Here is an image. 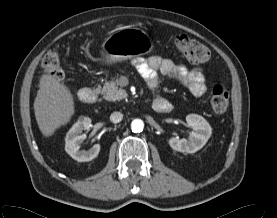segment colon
Wrapping results in <instances>:
<instances>
[{"label":"colon","instance_id":"obj_1","mask_svg":"<svg viewBox=\"0 0 277 218\" xmlns=\"http://www.w3.org/2000/svg\"><path fill=\"white\" fill-rule=\"evenodd\" d=\"M177 50L192 64H201L208 60V48L186 36L177 35L174 39ZM41 66L45 73L49 74L56 80L64 78V71L60 62V55L57 50H49L43 57ZM229 90L223 86H215L212 90L211 107L215 113H223L229 105Z\"/></svg>","mask_w":277,"mask_h":218}]
</instances>
